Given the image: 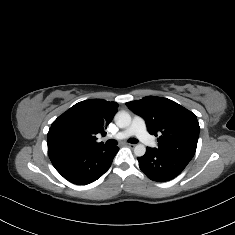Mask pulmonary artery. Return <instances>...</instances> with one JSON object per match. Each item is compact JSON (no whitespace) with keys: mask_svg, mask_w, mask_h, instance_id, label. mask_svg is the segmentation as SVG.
<instances>
[{"mask_svg":"<svg viewBox=\"0 0 235 235\" xmlns=\"http://www.w3.org/2000/svg\"><path fill=\"white\" fill-rule=\"evenodd\" d=\"M131 136L139 137L141 142H147L149 146H153V143L150 140V133L146 129L145 121L138 116H135L130 125L123 131L113 133L107 136V138L123 140Z\"/></svg>","mask_w":235,"mask_h":235,"instance_id":"pulmonary-artery-1","label":"pulmonary artery"}]
</instances>
